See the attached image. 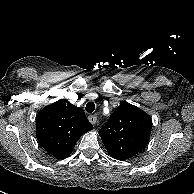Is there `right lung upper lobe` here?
I'll return each mask as SVG.
<instances>
[{
    "instance_id": "1",
    "label": "right lung upper lobe",
    "mask_w": 194,
    "mask_h": 194,
    "mask_svg": "<svg viewBox=\"0 0 194 194\" xmlns=\"http://www.w3.org/2000/svg\"><path fill=\"white\" fill-rule=\"evenodd\" d=\"M92 129L84 110L65 99L45 107L36 116L38 143L58 159L68 157L78 139Z\"/></svg>"
}]
</instances>
